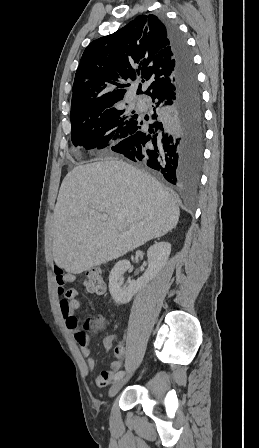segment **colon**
I'll list each match as a JSON object with an SVG mask.
<instances>
[{
  "label": "colon",
  "instance_id": "5ec220e1",
  "mask_svg": "<svg viewBox=\"0 0 259 448\" xmlns=\"http://www.w3.org/2000/svg\"><path fill=\"white\" fill-rule=\"evenodd\" d=\"M83 289L89 294H103L106 290V282L98 269H90L85 273ZM93 327L100 326L99 321L91 322Z\"/></svg>",
  "mask_w": 259,
  "mask_h": 448
}]
</instances>
